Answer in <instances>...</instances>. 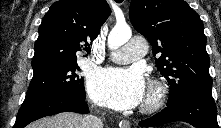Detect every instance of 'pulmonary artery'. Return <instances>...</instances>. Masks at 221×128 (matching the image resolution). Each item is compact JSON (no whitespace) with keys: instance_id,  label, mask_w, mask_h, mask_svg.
Wrapping results in <instances>:
<instances>
[{"instance_id":"e3ab8cb5","label":"pulmonary artery","mask_w":221,"mask_h":128,"mask_svg":"<svg viewBox=\"0 0 221 128\" xmlns=\"http://www.w3.org/2000/svg\"><path fill=\"white\" fill-rule=\"evenodd\" d=\"M146 49L147 43L143 39L137 38L128 41L120 49L110 54L109 58L117 63H130L143 55Z\"/></svg>"}]
</instances>
